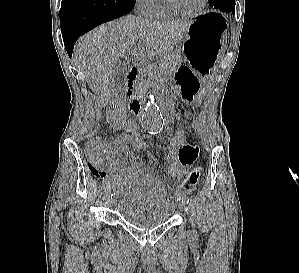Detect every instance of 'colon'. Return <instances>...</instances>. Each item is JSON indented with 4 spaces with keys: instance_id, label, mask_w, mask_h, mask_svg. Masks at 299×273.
Wrapping results in <instances>:
<instances>
[{
    "instance_id": "colon-1",
    "label": "colon",
    "mask_w": 299,
    "mask_h": 273,
    "mask_svg": "<svg viewBox=\"0 0 299 273\" xmlns=\"http://www.w3.org/2000/svg\"><path fill=\"white\" fill-rule=\"evenodd\" d=\"M186 140V132L183 126L179 125L178 130L167 137L160 148H167L171 146H177L183 143ZM126 145L133 146L137 149H149V139L142 133L132 138L131 140H126L122 136L112 139V140H99L93 139L90 140L86 145V155L88 159V165L94 176L100 178L105 175L103 159L104 154L107 151H115L119 150ZM202 173V168L200 166L194 167L189 173L186 175L184 180L180 185L181 193H189L192 191L197 185L200 176Z\"/></svg>"
}]
</instances>
